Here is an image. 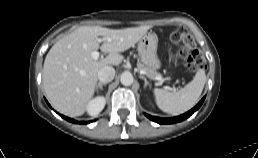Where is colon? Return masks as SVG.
Instances as JSON below:
<instances>
[{
	"label": "colon",
	"mask_w": 258,
	"mask_h": 158,
	"mask_svg": "<svg viewBox=\"0 0 258 158\" xmlns=\"http://www.w3.org/2000/svg\"><path fill=\"white\" fill-rule=\"evenodd\" d=\"M170 38L172 42L178 45L176 61L184 62L191 72H197L205 68V58L196 50L194 39L186 30L178 28L171 33Z\"/></svg>",
	"instance_id": "obj_1"
}]
</instances>
